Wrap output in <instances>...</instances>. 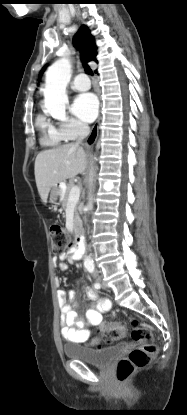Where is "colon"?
Returning <instances> with one entry per match:
<instances>
[{"instance_id":"1","label":"colon","mask_w":187,"mask_h":415,"mask_svg":"<svg viewBox=\"0 0 187 415\" xmlns=\"http://www.w3.org/2000/svg\"><path fill=\"white\" fill-rule=\"evenodd\" d=\"M49 232L53 253L55 255L63 254L72 244L71 234L59 224L51 225ZM131 325V337L140 345L118 361L116 376L121 382L126 381L136 369L147 366L158 350L153 332L149 327L143 325L138 319H133ZM101 331L104 335L105 344L118 340L125 334L124 326L118 322L103 326ZM98 347H101V345H98Z\"/></svg>"}]
</instances>
